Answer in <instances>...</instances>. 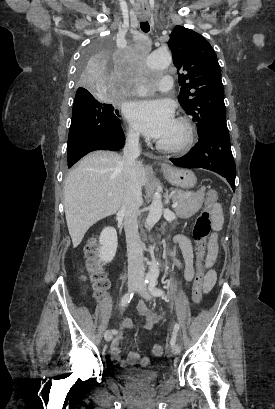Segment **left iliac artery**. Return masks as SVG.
<instances>
[{
    "instance_id": "obj_1",
    "label": "left iliac artery",
    "mask_w": 275,
    "mask_h": 409,
    "mask_svg": "<svg viewBox=\"0 0 275 409\" xmlns=\"http://www.w3.org/2000/svg\"><path fill=\"white\" fill-rule=\"evenodd\" d=\"M157 282H158L157 281V275L152 276L149 279L148 287H149V291L151 292L152 295H154L156 297H160V296H162L164 294V291L156 286ZM178 330H179V324L175 323L173 334H172L171 341H170L171 346H173L176 343Z\"/></svg>"
}]
</instances>
